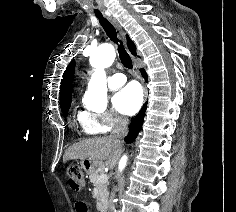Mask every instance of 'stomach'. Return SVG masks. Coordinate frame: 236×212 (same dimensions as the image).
Segmentation results:
<instances>
[{"instance_id":"0dacf381","label":"stomach","mask_w":236,"mask_h":212,"mask_svg":"<svg viewBox=\"0 0 236 212\" xmlns=\"http://www.w3.org/2000/svg\"><path fill=\"white\" fill-rule=\"evenodd\" d=\"M81 167L84 169V171L87 174H91L94 171L97 170V168L99 167V165L97 164L96 161L91 160V159H84L81 161Z\"/></svg>"}]
</instances>
